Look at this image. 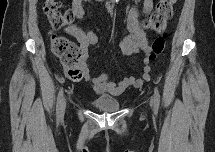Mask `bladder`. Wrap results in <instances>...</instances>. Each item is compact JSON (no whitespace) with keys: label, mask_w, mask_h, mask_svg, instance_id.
Instances as JSON below:
<instances>
[{"label":"bladder","mask_w":215,"mask_h":152,"mask_svg":"<svg viewBox=\"0 0 215 152\" xmlns=\"http://www.w3.org/2000/svg\"><path fill=\"white\" fill-rule=\"evenodd\" d=\"M94 107L101 112H115L121 107V102L112 97H99L94 101Z\"/></svg>","instance_id":"31cf9c89"}]
</instances>
